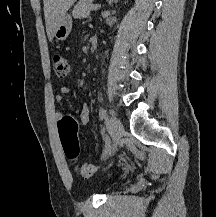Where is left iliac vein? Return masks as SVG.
<instances>
[{"label": "left iliac vein", "mask_w": 216, "mask_h": 217, "mask_svg": "<svg viewBox=\"0 0 216 217\" xmlns=\"http://www.w3.org/2000/svg\"><path fill=\"white\" fill-rule=\"evenodd\" d=\"M109 126H110L111 136L114 140V147L111 151V154H114L116 152L118 144H120L121 139L124 135V127L121 121L115 116H112L110 118Z\"/></svg>", "instance_id": "obj_1"}]
</instances>
